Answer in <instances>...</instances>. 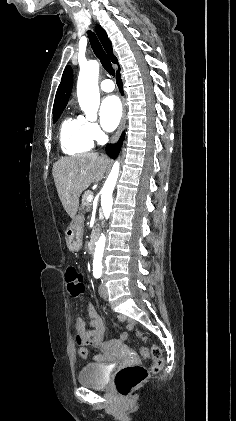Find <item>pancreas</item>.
<instances>
[{
	"mask_svg": "<svg viewBox=\"0 0 236 421\" xmlns=\"http://www.w3.org/2000/svg\"><path fill=\"white\" fill-rule=\"evenodd\" d=\"M88 194H92L91 190H86L82 198V208H83L84 213H88L89 211L90 202L88 200Z\"/></svg>",
	"mask_w": 236,
	"mask_h": 421,
	"instance_id": "cf45deb5",
	"label": "pancreas"
}]
</instances>
